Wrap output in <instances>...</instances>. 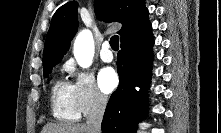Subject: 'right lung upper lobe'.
I'll use <instances>...</instances> for the list:
<instances>
[{
    "instance_id": "obj_1",
    "label": "right lung upper lobe",
    "mask_w": 221,
    "mask_h": 133,
    "mask_svg": "<svg viewBox=\"0 0 221 133\" xmlns=\"http://www.w3.org/2000/svg\"><path fill=\"white\" fill-rule=\"evenodd\" d=\"M77 2L61 6L53 15L46 36L43 67L59 63L77 32ZM95 13L100 20L117 21L122 24L118 32L121 41L136 34L151 30L145 0H95Z\"/></svg>"
}]
</instances>
